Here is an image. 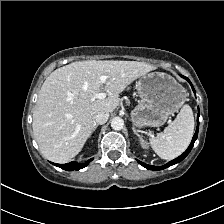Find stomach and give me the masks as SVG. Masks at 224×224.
Instances as JSON below:
<instances>
[{
	"instance_id": "0dacf381",
	"label": "stomach",
	"mask_w": 224,
	"mask_h": 224,
	"mask_svg": "<svg viewBox=\"0 0 224 224\" xmlns=\"http://www.w3.org/2000/svg\"><path fill=\"white\" fill-rule=\"evenodd\" d=\"M136 88L140 100L131 112V119L138 128L162 126L187 97L185 88L164 72L146 73Z\"/></svg>"
}]
</instances>
